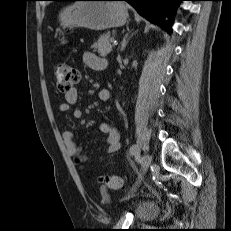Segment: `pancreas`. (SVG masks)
Listing matches in <instances>:
<instances>
[{"label":"pancreas","instance_id":"1","mask_svg":"<svg viewBox=\"0 0 231 231\" xmlns=\"http://www.w3.org/2000/svg\"><path fill=\"white\" fill-rule=\"evenodd\" d=\"M110 34L105 33L101 35L97 42L93 44L94 51H97L99 55L106 56L112 51V45L110 43Z\"/></svg>","mask_w":231,"mask_h":231}]
</instances>
